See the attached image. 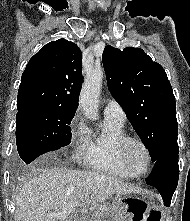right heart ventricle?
<instances>
[{"instance_id":"e07e8e85","label":"right heart ventricle","mask_w":190,"mask_h":221,"mask_svg":"<svg viewBox=\"0 0 190 221\" xmlns=\"http://www.w3.org/2000/svg\"><path fill=\"white\" fill-rule=\"evenodd\" d=\"M125 136L124 122L105 118L101 131L90 136V151L85 165L92 170L119 177H135L125 168L119 156V145Z\"/></svg>"}]
</instances>
